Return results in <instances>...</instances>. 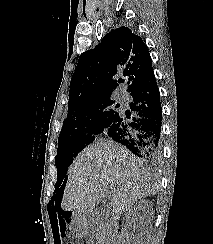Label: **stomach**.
<instances>
[{"mask_svg": "<svg viewBox=\"0 0 213 244\" xmlns=\"http://www.w3.org/2000/svg\"><path fill=\"white\" fill-rule=\"evenodd\" d=\"M85 221H74L73 233L77 236H82V231H84Z\"/></svg>", "mask_w": 213, "mask_h": 244, "instance_id": "obj_1", "label": "stomach"}]
</instances>
